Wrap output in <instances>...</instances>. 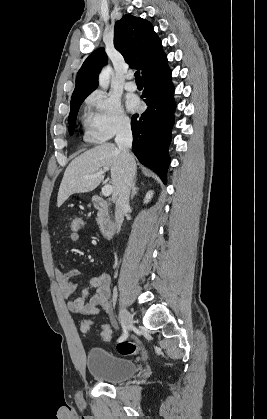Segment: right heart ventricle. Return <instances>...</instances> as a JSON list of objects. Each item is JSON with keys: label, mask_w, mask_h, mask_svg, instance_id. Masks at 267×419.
Returning <instances> with one entry per match:
<instances>
[{"label": "right heart ventricle", "mask_w": 267, "mask_h": 419, "mask_svg": "<svg viewBox=\"0 0 267 419\" xmlns=\"http://www.w3.org/2000/svg\"><path fill=\"white\" fill-rule=\"evenodd\" d=\"M89 123H90V119L89 118H86L85 119V124L89 126Z\"/></svg>", "instance_id": "e07e8e85"}]
</instances>
